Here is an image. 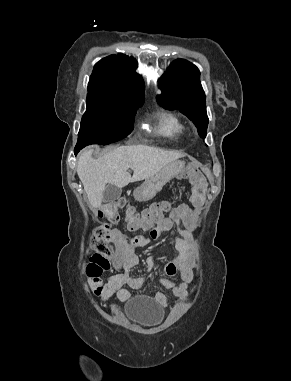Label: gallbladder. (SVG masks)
Here are the masks:
<instances>
[{"label": "gallbladder", "instance_id": "bac80fb5", "mask_svg": "<svg viewBox=\"0 0 291 381\" xmlns=\"http://www.w3.org/2000/svg\"><path fill=\"white\" fill-rule=\"evenodd\" d=\"M121 188L115 185H107L103 194V202H113L121 196Z\"/></svg>", "mask_w": 291, "mask_h": 381}]
</instances>
